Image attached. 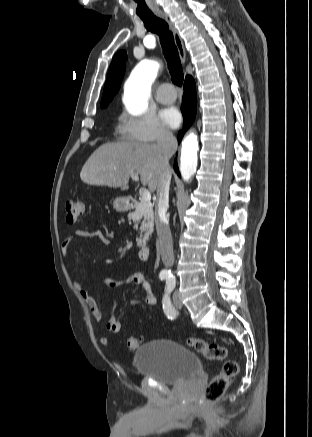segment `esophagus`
I'll return each mask as SVG.
<instances>
[{
	"label": "esophagus",
	"instance_id": "1",
	"mask_svg": "<svg viewBox=\"0 0 312 437\" xmlns=\"http://www.w3.org/2000/svg\"><path fill=\"white\" fill-rule=\"evenodd\" d=\"M157 16L163 19L169 26L175 41V45L178 49L179 57L181 62L184 64L186 62V51L184 47L183 40L175 27L174 23L171 21L170 17L164 12H157Z\"/></svg>",
	"mask_w": 312,
	"mask_h": 437
}]
</instances>
